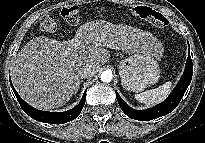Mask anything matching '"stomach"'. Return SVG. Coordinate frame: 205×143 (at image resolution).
<instances>
[{"mask_svg": "<svg viewBox=\"0 0 205 143\" xmlns=\"http://www.w3.org/2000/svg\"><path fill=\"white\" fill-rule=\"evenodd\" d=\"M122 86L130 91L140 92L154 85L160 78L157 52L144 50L134 53L119 63Z\"/></svg>", "mask_w": 205, "mask_h": 143, "instance_id": "stomach-1", "label": "stomach"}]
</instances>
